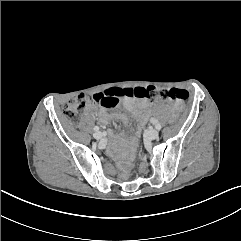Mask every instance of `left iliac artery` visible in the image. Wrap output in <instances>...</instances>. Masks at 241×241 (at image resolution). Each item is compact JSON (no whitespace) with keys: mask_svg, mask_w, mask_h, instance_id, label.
Wrapping results in <instances>:
<instances>
[{"mask_svg":"<svg viewBox=\"0 0 241 241\" xmlns=\"http://www.w3.org/2000/svg\"><path fill=\"white\" fill-rule=\"evenodd\" d=\"M155 128H156L157 130H160V129L162 128V126L157 123V124L155 125Z\"/></svg>","mask_w":241,"mask_h":241,"instance_id":"left-iliac-artery-1","label":"left iliac artery"}]
</instances>
